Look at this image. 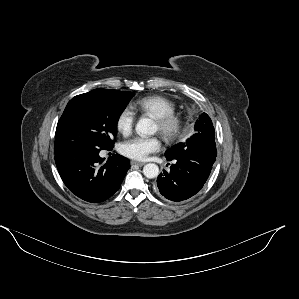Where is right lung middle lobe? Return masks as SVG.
<instances>
[{
	"instance_id": "dd1d6c3e",
	"label": "right lung middle lobe",
	"mask_w": 299,
	"mask_h": 299,
	"mask_svg": "<svg viewBox=\"0 0 299 299\" xmlns=\"http://www.w3.org/2000/svg\"><path fill=\"white\" fill-rule=\"evenodd\" d=\"M132 92L95 89L72 98L58 121L55 154L76 149H111L118 119Z\"/></svg>"
}]
</instances>
